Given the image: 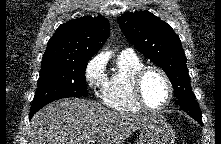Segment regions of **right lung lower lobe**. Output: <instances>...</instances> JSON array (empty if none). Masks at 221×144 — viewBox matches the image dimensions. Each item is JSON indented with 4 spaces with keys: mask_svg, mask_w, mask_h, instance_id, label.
Segmentation results:
<instances>
[{
    "mask_svg": "<svg viewBox=\"0 0 221 144\" xmlns=\"http://www.w3.org/2000/svg\"><path fill=\"white\" fill-rule=\"evenodd\" d=\"M35 113H36V112H30V114H29V119H31L32 116H33Z\"/></svg>",
    "mask_w": 221,
    "mask_h": 144,
    "instance_id": "right-lung-lower-lobe-1",
    "label": "right lung lower lobe"
}]
</instances>
